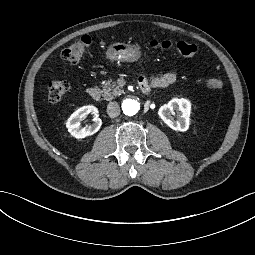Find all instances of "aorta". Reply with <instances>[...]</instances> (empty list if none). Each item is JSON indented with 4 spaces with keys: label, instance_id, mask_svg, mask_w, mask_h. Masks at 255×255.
Segmentation results:
<instances>
[{
    "label": "aorta",
    "instance_id": "1",
    "mask_svg": "<svg viewBox=\"0 0 255 255\" xmlns=\"http://www.w3.org/2000/svg\"><path fill=\"white\" fill-rule=\"evenodd\" d=\"M122 109L127 116H133L140 110V103L135 99H126L123 101Z\"/></svg>",
    "mask_w": 255,
    "mask_h": 255
}]
</instances>
